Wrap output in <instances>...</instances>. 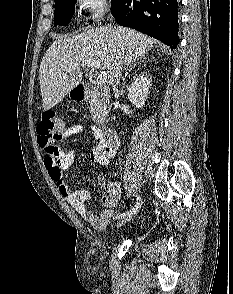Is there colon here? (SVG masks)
I'll list each match as a JSON object with an SVG mask.
<instances>
[{
    "label": "colon",
    "instance_id": "1",
    "mask_svg": "<svg viewBox=\"0 0 233 294\" xmlns=\"http://www.w3.org/2000/svg\"><path fill=\"white\" fill-rule=\"evenodd\" d=\"M66 130L65 121L56 111L48 110L42 115V119L37 126L38 140L44 149L46 156L53 158L59 156V142L63 138Z\"/></svg>",
    "mask_w": 233,
    "mask_h": 294
}]
</instances>
